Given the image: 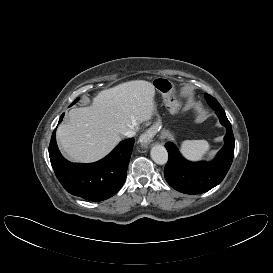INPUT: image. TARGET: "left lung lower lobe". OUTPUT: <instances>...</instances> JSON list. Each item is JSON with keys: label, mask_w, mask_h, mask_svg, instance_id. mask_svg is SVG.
<instances>
[{"label": "left lung lower lobe", "mask_w": 273, "mask_h": 273, "mask_svg": "<svg viewBox=\"0 0 273 273\" xmlns=\"http://www.w3.org/2000/svg\"><path fill=\"white\" fill-rule=\"evenodd\" d=\"M219 120L226 127L225 145L212 162H189L185 160L173 143L165 147L169 160L164 169L168 184L186 194H200L218 185L227 174L234 156L235 140L232 127L224 110L216 111Z\"/></svg>", "instance_id": "1"}]
</instances>
